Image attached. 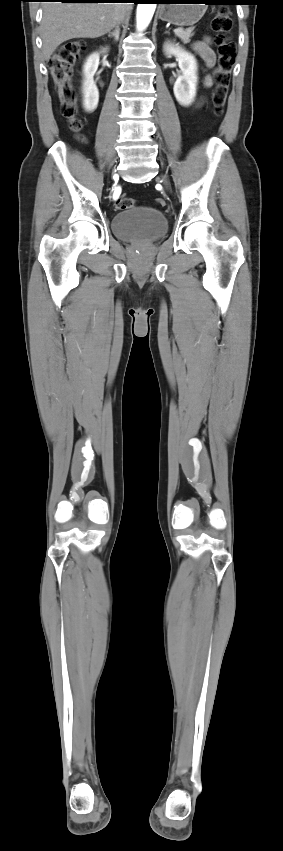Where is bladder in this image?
Listing matches in <instances>:
<instances>
[{
	"label": "bladder",
	"instance_id": "31cf9c89",
	"mask_svg": "<svg viewBox=\"0 0 283 851\" xmlns=\"http://www.w3.org/2000/svg\"><path fill=\"white\" fill-rule=\"evenodd\" d=\"M112 232L124 241H153L168 229L165 215L152 207L135 206L116 213L111 221Z\"/></svg>",
	"mask_w": 283,
	"mask_h": 851
}]
</instances>
